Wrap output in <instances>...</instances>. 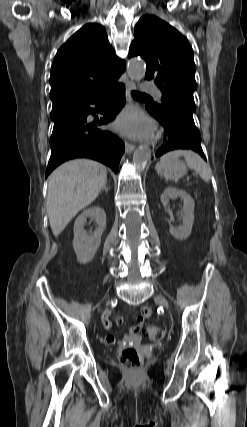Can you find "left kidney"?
Instances as JSON below:
<instances>
[{
  "label": "left kidney",
  "instance_id": "5707ae66",
  "mask_svg": "<svg viewBox=\"0 0 247 427\" xmlns=\"http://www.w3.org/2000/svg\"><path fill=\"white\" fill-rule=\"evenodd\" d=\"M177 197H180L184 203L183 211L181 212L183 224L178 227L170 226L169 230L171 235L174 238L182 241L187 239L191 234V230L194 222V206H195L193 198L184 190L168 187L161 194L160 200L163 206H167L170 199H175Z\"/></svg>",
  "mask_w": 247,
  "mask_h": 427
}]
</instances>
